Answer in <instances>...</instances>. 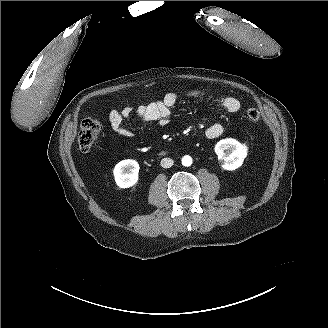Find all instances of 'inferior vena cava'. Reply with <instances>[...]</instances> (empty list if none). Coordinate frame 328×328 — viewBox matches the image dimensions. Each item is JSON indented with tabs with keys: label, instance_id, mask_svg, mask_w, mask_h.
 Segmentation results:
<instances>
[{
	"label": "inferior vena cava",
	"instance_id": "602c4592",
	"mask_svg": "<svg viewBox=\"0 0 328 328\" xmlns=\"http://www.w3.org/2000/svg\"><path fill=\"white\" fill-rule=\"evenodd\" d=\"M173 163H174L173 160L170 158H163L161 160V166L163 168H170L171 166H173Z\"/></svg>",
	"mask_w": 328,
	"mask_h": 328
}]
</instances>
